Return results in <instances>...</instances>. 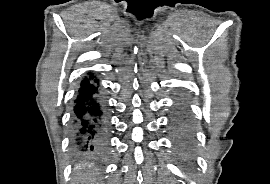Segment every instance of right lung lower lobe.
Instances as JSON below:
<instances>
[{"label": "right lung lower lobe", "mask_w": 270, "mask_h": 184, "mask_svg": "<svg viewBox=\"0 0 270 184\" xmlns=\"http://www.w3.org/2000/svg\"><path fill=\"white\" fill-rule=\"evenodd\" d=\"M98 80L92 74L81 82L72 114V145L76 152L101 156L105 148L103 101L98 91Z\"/></svg>", "instance_id": "right-lung-lower-lobe-1"}]
</instances>
